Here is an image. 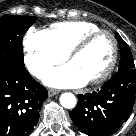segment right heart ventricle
Here are the masks:
<instances>
[{
    "label": "right heart ventricle",
    "instance_id": "right-heart-ventricle-1",
    "mask_svg": "<svg viewBox=\"0 0 136 136\" xmlns=\"http://www.w3.org/2000/svg\"><path fill=\"white\" fill-rule=\"evenodd\" d=\"M97 30H100L99 26L91 22L64 21L52 24L44 31L55 47L66 56L82 37Z\"/></svg>",
    "mask_w": 136,
    "mask_h": 136
}]
</instances>
